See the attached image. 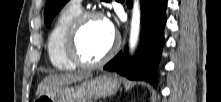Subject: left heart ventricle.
Masks as SVG:
<instances>
[{
    "instance_id": "1",
    "label": "left heart ventricle",
    "mask_w": 221,
    "mask_h": 102,
    "mask_svg": "<svg viewBox=\"0 0 221 102\" xmlns=\"http://www.w3.org/2000/svg\"><path fill=\"white\" fill-rule=\"evenodd\" d=\"M113 36H111L102 19H91L82 27L78 48L80 55L87 61L100 59L111 47Z\"/></svg>"
}]
</instances>
